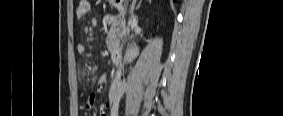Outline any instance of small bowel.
Here are the masks:
<instances>
[{
  "instance_id": "c3829d8e",
  "label": "small bowel",
  "mask_w": 283,
  "mask_h": 116,
  "mask_svg": "<svg viewBox=\"0 0 283 116\" xmlns=\"http://www.w3.org/2000/svg\"><path fill=\"white\" fill-rule=\"evenodd\" d=\"M90 11V2L88 0H80L78 2V6L76 8L75 14L76 17L78 18H83L85 17ZM77 52L81 55L86 53V48L83 44H78L77 47ZM96 103V95L95 94H90L88 95L87 99H86V103L84 105V108L86 110H90L94 107ZM102 116H116L117 115V106L115 101L113 100H108L101 109V113Z\"/></svg>"
}]
</instances>
